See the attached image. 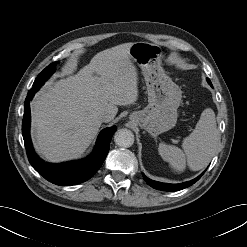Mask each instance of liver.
I'll use <instances>...</instances> for the list:
<instances>
[{
  "instance_id": "1",
  "label": "liver",
  "mask_w": 247,
  "mask_h": 247,
  "mask_svg": "<svg viewBox=\"0 0 247 247\" xmlns=\"http://www.w3.org/2000/svg\"><path fill=\"white\" fill-rule=\"evenodd\" d=\"M124 43L97 53L75 75L46 86L31 103L32 133L39 152L51 162L81 155L117 106L138 98V74Z\"/></svg>"
}]
</instances>
